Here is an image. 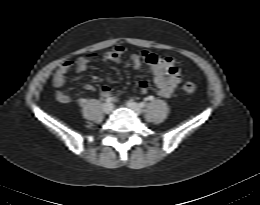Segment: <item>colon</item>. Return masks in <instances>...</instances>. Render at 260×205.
Returning <instances> with one entry per match:
<instances>
[{"mask_svg": "<svg viewBox=\"0 0 260 205\" xmlns=\"http://www.w3.org/2000/svg\"><path fill=\"white\" fill-rule=\"evenodd\" d=\"M181 89L186 93H193L196 90V86L192 82H184L181 85Z\"/></svg>", "mask_w": 260, "mask_h": 205, "instance_id": "1", "label": "colon"}]
</instances>
